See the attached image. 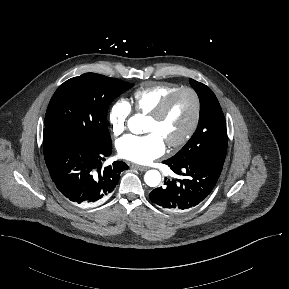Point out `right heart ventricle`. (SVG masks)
I'll use <instances>...</instances> for the list:
<instances>
[{"mask_svg":"<svg viewBox=\"0 0 289 289\" xmlns=\"http://www.w3.org/2000/svg\"><path fill=\"white\" fill-rule=\"evenodd\" d=\"M177 88L178 85L170 83H151L142 86L133 93V107L139 113L149 114Z\"/></svg>","mask_w":289,"mask_h":289,"instance_id":"e07e8e85","label":"right heart ventricle"}]
</instances>
